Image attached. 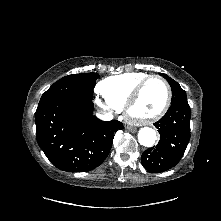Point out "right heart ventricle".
I'll list each match as a JSON object with an SVG mask.
<instances>
[{
  "label": "right heart ventricle",
  "mask_w": 221,
  "mask_h": 221,
  "mask_svg": "<svg viewBox=\"0 0 221 221\" xmlns=\"http://www.w3.org/2000/svg\"><path fill=\"white\" fill-rule=\"evenodd\" d=\"M147 76L142 72L110 76L98 83L97 90L108 103L122 109L134 88Z\"/></svg>",
  "instance_id": "obj_1"
}]
</instances>
